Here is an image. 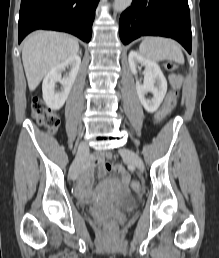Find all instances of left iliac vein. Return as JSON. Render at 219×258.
Masks as SVG:
<instances>
[{
    "label": "left iliac vein",
    "instance_id": "1",
    "mask_svg": "<svg viewBox=\"0 0 219 258\" xmlns=\"http://www.w3.org/2000/svg\"><path fill=\"white\" fill-rule=\"evenodd\" d=\"M120 154L124 158H126L131 164H133L139 171L143 172L144 164L138 154L127 148L121 149Z\"/></svg>",
    "mask_w": 219,
    "mask_h": 258
}]
</instances>
